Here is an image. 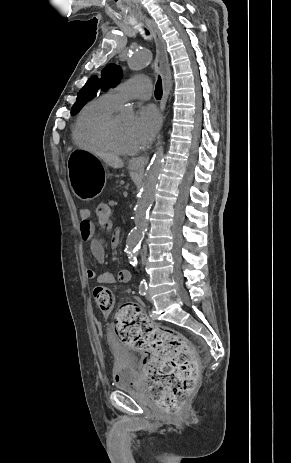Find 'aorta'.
Wrapping results in <instances>:
<instances>
[{"label":"aorta","mask_w":291,"mask_h":463,"mask_svg":"<svg viewBox=\"0 0 291 463\" xmlns=\"http://www.w3.org/2000/svg\"><path fill=\"white\" fill-rule=\"evenodd\" d=\"M152 62L150 50L144 49L134 52L128 58V66L133 71L141 70ZM164 148L160 145L149 163L142 184L140 197L135 207V227L130 231L126 240V253L131 264H137L136 250L138 249L147 228V216L154 200L159 177L163 169Z\"/></svg>","instance_id":"aorta-1"}]
</instances>
